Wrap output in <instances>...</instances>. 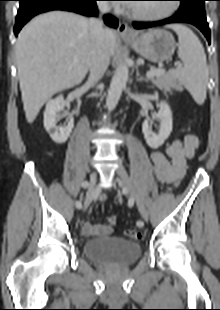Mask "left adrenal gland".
<instances>
[{
	"mask_svg": "<svg viewBox=\"0 0 220 310\" xmlns=\"http://www.w3.org/2000/svg\"><path fill=\"white\" fill-rule=\"evenodd\" d=\"M137 81H139V82H141V81L148 82V79L140 76L139 71H137Z\"/></svg>",
	"mask_w": 220,
	"mask_h": 310,
	"instance_id": "left-adrenal-gland-1",
	"label": "left adrenal gland"
}]
</instances>
